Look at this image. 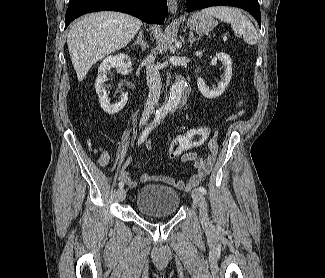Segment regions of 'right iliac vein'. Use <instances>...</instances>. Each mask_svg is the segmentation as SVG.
<instances>
[{
    "label": "right iliac vein",
    "mask_w": 325,
    "mask_h": 278,
    "mask_svg": "<svg viewBox=\"0 0 325 278\" xmlns=\"http://www.w3.org/2000/svg\"><path fill=\"white\" fill-rule=\"evenodd\" d=\"M117 197L119 201H123L126 197V191L124 188H119L117 190Z\"/></svg>",
    "instance_id": "right-iliac-vein-1"
}]
</instances>
